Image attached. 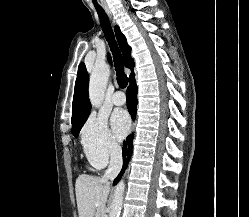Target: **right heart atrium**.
<instances>
[{
    "label": "right heart atrium",
    "instance_id": "d8ad5b80",
    "mask_svg": "<svg viewBox=\"0 0 249 217\" xmlns=\"http://www.w3.org/2000/svg\"><path fill=\"white\" fill-rule=\"evenodd\" d=\"M81 144L87 160L96 168L106 166L119 149L106 118L95 114L82 127Z\"/></svg>",
    "mask_w": 249,
    "mask_h": 217
}]
</instances>
